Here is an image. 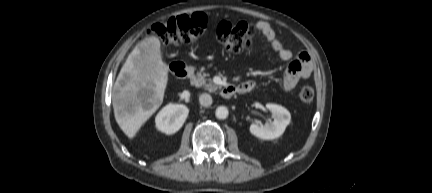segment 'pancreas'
<instances>
[{
	"label": "pancreas",
	"instance_id": "1",
	"mask_svg": "<svg viewBox=\"0 0 432 193\" xmlns=\"http://www.w3.org/2000/svg\"><path fill=\"white\" fill-rule=\"evenodd\" d=\"M192 83L196 87H203L205 90H208L210 92H215L218 89V86L215 85L211 79H205V74H202L200 72L197 73V75L193 78Z\"/></svg>",
	"mask_w": 432,
	"mask_h": 193
}]
</instances>
